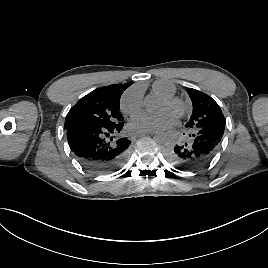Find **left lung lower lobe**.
Wrapping results in <instances>:
<instances>
[{
  "instance_id": "1",
  "label": "left lung lower lobe",
  "mask_w": 268,
  "mask_h": 268,
  "mask_svg": "<svg viewBox=\"0 0 268 268\" xmlns=\"http://www.w3.org/2000/svg\"><path fill=\"white\" fill-rule=\"evenodd\" d=\"M225 125L205 127L192 132L188 142L178 144L169 153V160L179 169L192 170L209 163L218 151Z\"/></svg>"
}]
</instances>
